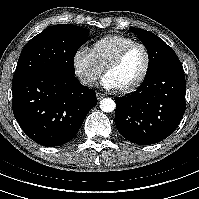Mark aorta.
Listing matches in <instances>:
<instances>
[{
	"mask_svg": "<svg viewBox=\"0 0 199 199\" xmlns=\"http://www.w3.org/2000/svg\"><path fill=\"white\" fill-rule=\"evenodd\" d=\"M115 107V102L111 98H104L100 101V109L103 112L110 113L114 111Z\"/></svg>",
	"mask_w": 199,
	"mask_h": 199,
	"instance_id": "aorta-1",
	"label": "aorta"
}]
</instances>
